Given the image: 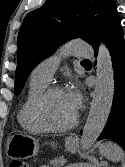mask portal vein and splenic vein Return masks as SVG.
I'll use <instances>...</instances> for the list:
<instances>
[{
	"instance_id": "obj_1",
	"label": "portal vein and splenic vein",
	"mask_w": 125,
	"mask_h": 167,
	"mask_svg": "<svg viewBox=\"0 0 125 167\" xmlns=\"http://www.w3.org/2000/svg\"><path fill=\"white\" fill-rule=\"evenodd\" d=\"M61 162L64 164V163H66V160L63 159ZM66 167H74V166H73V165H68V166H66Z\"/></svg>"
}]
</instances>
